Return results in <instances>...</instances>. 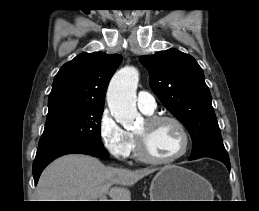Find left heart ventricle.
Instances as JSON below:
<instances>
[{"label": "left heart ventricle", "mask_w": 259, "mask_h": 211, "mask_svg": "<svg viewBox=\"0 0 259 211\" xmlns=\"http://www.w3.org/2000/svg\"><path fill=\"white\" fill-rule=\"evenodd\" d=\"M136 133L143 138L148 152L155 158L172 157L182 147V137L178 128L168 121L156 125H149L143 121Z\"/></svg>", "instance_id": "b2bd125f"}]
</instances>
